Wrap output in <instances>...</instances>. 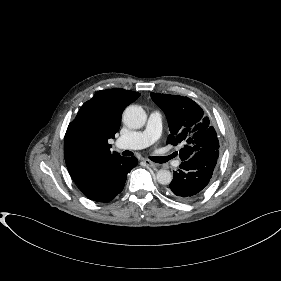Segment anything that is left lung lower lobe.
I'll use <instances>...</instances> for the list:
<instances>
[{
    "label": "left lung lower lobe",
    "instance_id": "left-lung-lower-lobe-1",
    "mask_svg": "<svg viewBox=\"0 0 281 281\" xmlns=\"http://www.w3.org/2000/svg\"><path fill=\"white\" fill-rule=\"evenodd\" d=\"M218 157L219 151H199L188 160L182 161L169 185L171 192L183 201L199 196L212 178Z\"/></svg>",
    "mask_w": 281,
    "mask_h": 281
}]
</instances>
